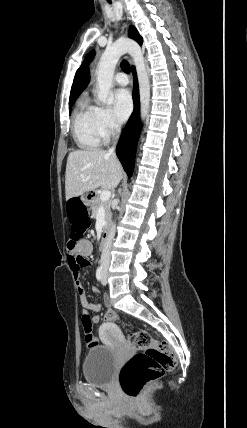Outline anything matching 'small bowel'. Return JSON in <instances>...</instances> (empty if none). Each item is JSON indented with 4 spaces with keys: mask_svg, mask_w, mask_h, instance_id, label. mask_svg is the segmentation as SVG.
I'll return each mask as SVG.
<instances>
[{
    "mask_svg": "<svg viewBox=\"0 0 247 428\" xmlns=\"http://www.w3.org/2000/svg\"><path fill=\"white\" fill-rule=\"evenodd\" d=\"M92 251H93L92 243L89 240L84 239L77 244V251L75 255H72L69 253L68 261L72 271L76 276H78V272L80 269L77 258L86 259L91 255ZM76 286H77L79 301L83 308L82 317H88L92 323H95V324L99 323L101 318L97 313L101 310V305L98 303H92L88 301L86 290L83 284L79 280L76 282ZM93 291L97 292V289L94 287ZM105 302L106 304H109V301L107 298H105ZM90 311L96 314L90 316L89 315Z\"/></svg>",
    "mask_w": 247,
    "mask_h": 428,
    "instance_id": "obj_1",
    "label": "small bowel"
}]
</instances>
